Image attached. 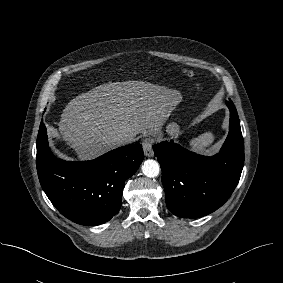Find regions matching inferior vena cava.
Masks as SVG:
<instances>
[{
  "instance_id": "inferior-vena-cava-1",
  "label": "inferior vena cava",
  "mask_w": 283,
  "mask_h": 283,
  "mask_svg": "<svg viewBox=\"0 0 283 283\" xmlns=\"http://www.w3.org/2000/svg\"><path fill=\"white\" fill-rule=\"evenodd\" d=\"M132 138L127 135H118L114 138L113 143L116 146H121L132 142Z\"/></svg>"
}]
</instances>
